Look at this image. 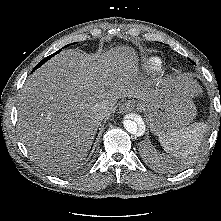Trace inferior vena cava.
<instances>
[{
    "mask_svg": "<svg viewBox=\"0 0 221 221\" xmlns=\"http://www.w3.org/2000/svg\"><path fill=\"white\" fill-rule=\"evenodd\" d=\"M103 114H104V115H106V114H107L105 109L103 110Z\"/></svg>",
    "mask_w": 221,
    "mask_h": 221,
    "instance_id": "1",
    "label": "inferior vena cava"
}]
</instances>
